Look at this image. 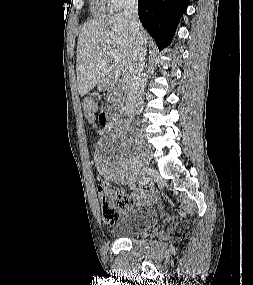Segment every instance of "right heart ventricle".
<instances>
[{
    "instance_id": "e07e8e85",
    "label": "right heart ventricle",
    "mask_w": 253,
    "mask_h": 285,
    "mask_svg": "<svg viewBox=\"0 0 253 285\" xmlns=\"http://www.w3.org/2000/svg\"><path fill=\"white\" fill-rule=\"evenodd\" d=\"M95 10L98 13H104L109 11V7L105 0H95Z\"/></svg>"
}]
</instances>
